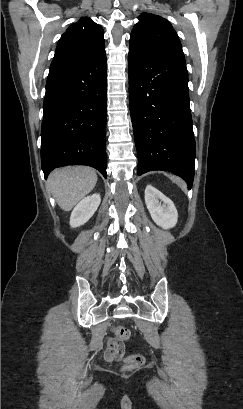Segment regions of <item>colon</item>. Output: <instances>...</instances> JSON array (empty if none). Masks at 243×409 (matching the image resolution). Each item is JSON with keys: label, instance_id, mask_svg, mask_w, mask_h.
Here are the masks:
<instances>
[{"label": "colon", "instance_id": "1", "mask_svg": "<svg viewBox=\"0 0 243 409\" xmlns=\"http://www.w3.org/2000/svg\"><path fill=\"white\" fill-rule=\"evenodd\" d=\"M115 334L117 337L123 341H128L130 339V331L124 327H117L114 329ZM145 362V358L139 354H130L125 357L124 360V368L126 370H132L139 368Z\"/></svg>", "mask_w": 243, "mask_h": 409}]
</instances>
